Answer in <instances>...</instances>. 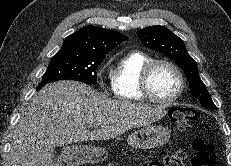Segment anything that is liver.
I'll return each instance as SVG.
<instances>
[{
	"label": "liver",
	"instance_id": "1",
	"mask_svg": "<svg viewBox=\"0 0 231 166\" xmlns=\"http://www.w3.org/2000/svg\"><path fill=\"white\" fill-rule=\"evenodd\" d=\"M165 115L164 107L111 100L76 81L51 83L34 96L13 132L11 164L47 166L56 146L108 140Z\"/></svg>",
	"mask_w": 231,
	"mask_h": 166
}]
</instances>
